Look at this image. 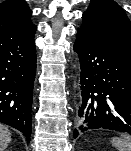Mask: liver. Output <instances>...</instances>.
I'll return each instance as SVG.
<instances>
[{"mask_svg": "<svg viewBox=\"0 0 131 151\" xmlns=\"http://www.w3.org/2000/svg\"><path fill=\"white\" fill-rule=\"evenodd\" d=\"M11 141V133L8 128L0 124V151H5Z\"/></svg>", "mask_w": 131, "mask_h": 151, "instance_id": "6515ba94", "label": "liver"}]
</instances>
